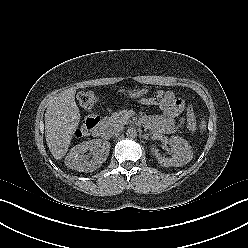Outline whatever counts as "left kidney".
<instances>
[{"label": "left kidney", "instance_id": "1", "mask_svg": "<svg viewBox=\"0 0 248 248\" xmlns=\"http://www.w3.org/2000/svg\"><path fill=\"white\" fill-rule=\"evenodd\" d=\"M169 144L174 148V154L171 158L162 157L157 149L152 148V152L161 166L181 167L192 160L193 151L186 140L178 136H172L169 139Z\"/></svg>", "mask_w": 248, "mask_h": 248}]
</instances>
